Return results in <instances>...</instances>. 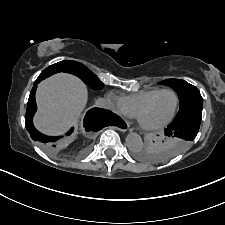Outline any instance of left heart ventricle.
Returning a JSON list of instances; mask_svg holds the SVG:
<instances>
[{"label":"left heart ventricle","instance_id":"b2bd125f","mask_svg":"<svg viewBox=\"0 0 225 225\" xmlns=\"http://www.w3.org/2000/svg\"><path fill=\"white\" fill-rule=\"evenodd\" d=\"M176 104L175 95L171 92H164L157 96L143 113L144 124L153 126L167 120L172 114Z\"/></svg>","mask_w":225,"mask_h":225}]
</instances>
